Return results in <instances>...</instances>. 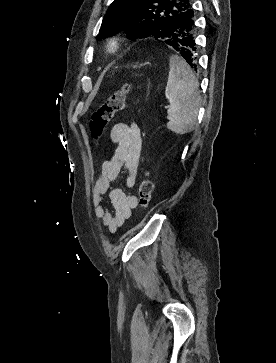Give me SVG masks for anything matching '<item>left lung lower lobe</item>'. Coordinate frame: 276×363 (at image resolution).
I'll use <instances>...</instances> for the list:
<instances>
[{"label":"left lung lower lobe","instance_id":"obj_1","mask_svg":"<svg viewBox=\"0 0 276 363\" xmlns=\"http://www.w3.org/2000/svg\"><path fill=\"white\" fill-rule=\"evenodd\" d=\"M193 11L188 8L176 21L174 32L169 34L166 42L187 61L189 67L197 70V48L195 44L196 26Z\"/></svg>","mask_w":276,"mask_h":363}]
</instances>
